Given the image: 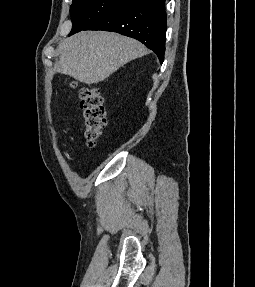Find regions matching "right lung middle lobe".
<instances>
[{"instance_id":"obj_1","label":"right lung middle lobe","mask_w":255,"mask_h":287,"mask_svg":"<svg viewBox=\"0 0 255 287\" xmlns=\"http://www.w3.org/2000/svg\"><path fill=\"white\" fill-rule=\"evenodd\" d=\"M130 0H73L70 7L72 35L86 29L92 23Z\"/></svg>"}]
</instances>
